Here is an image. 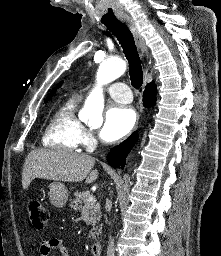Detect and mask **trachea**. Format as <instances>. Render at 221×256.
<instances>
[{
    "mask_svg": "<svg viewBox=\"0 0 221 256\" xmlns=\"http://www.w3.org/2000/svg\"><path fill=\"white\" fill-rule=\"evenodd\" d=\"M105 25L117 37L121 44L129 63L131 84L136 90L141 92L143 85V71L132 33L128 27L119 20L105 23Z\"/></svg>",
    "mask_w": 221,
    "mask_h": 256,
    "instance_id": "3493384b",
    "label": "trachea"
}]
</instances>
